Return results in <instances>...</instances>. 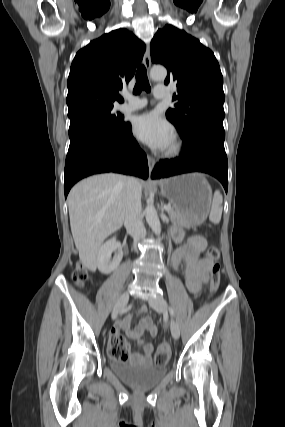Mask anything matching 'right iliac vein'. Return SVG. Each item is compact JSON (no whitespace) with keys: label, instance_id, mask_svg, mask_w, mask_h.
Listing matches in <instances>:
<instances>
[{"label":"right iliac vein","instance_id":"63e3f726","mask_svg":"<svg viewBox=\"0 0 285 427\" xmlns=\"http://www.w3.org/2000/svg\"><path fill=\"white\" fill-rule=\"evenodd\" d=\"M129 300V294L128 292H124L121 294V296L119 297L113 312H112V318H116L118 316V314L124 309V307L126 306L127 302Z\"/></svg>","mask_w":285,"mask_h":427}]
</instances>
